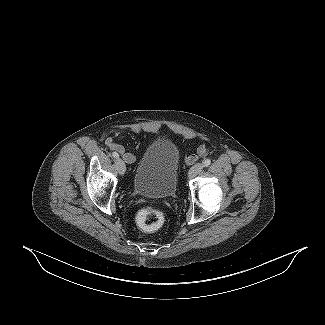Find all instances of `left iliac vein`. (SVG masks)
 <instances>
[{"label": "left iliac vein", "mask_w": 325, "mask_h": 325, "mask_svg": "<svg viewBox=\"0 0 325 325\" xmlns=\"http://www.w3.org/2000/svg\"><path fill=\"white\" fill-rule=\"evenodd\" d=\"M204 168V164L202 163H196L194 166L191 167V169L188 172V177L193 178L196 175H198Z\"/></svg>", "instance_id": "4c4485c4"}]
</instances>
